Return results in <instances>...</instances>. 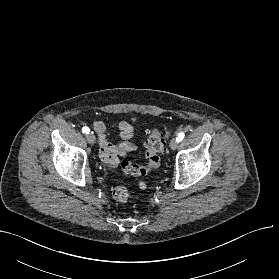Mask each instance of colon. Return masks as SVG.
<instances>
[{"label":"colon","instance_id":"colon-1","mask_svg":"<svg viewBox=\"0 0 279 279\" xmlns=\"http://www.w3.org/2000/svg\"><path fill=\"white\" fill-rule=\"evenodd\" d=\"M164 150V138L159 130H152L146 142V159L147 164L140 166L123 160L121 167L124 172L136 177H143L155 170L160 165V153ZM138 188L143 190L146 184L143 181L138 183ZM130 190L126 186H116L113 189V197L119 202H126L130 198Z\"/></svg>","mask_w":279,"mask_h":279}]
</instances>
